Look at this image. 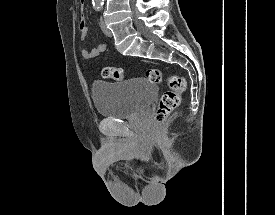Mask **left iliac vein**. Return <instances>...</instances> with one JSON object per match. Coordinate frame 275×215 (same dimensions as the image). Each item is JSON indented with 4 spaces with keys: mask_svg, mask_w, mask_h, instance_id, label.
Masks as SVG:
<instances>
[{
    "mask_svg": "<svg viewBox=\"0 0 275 215\" xmlns=\"http://www.w3.org/2000/svg\"><path fill=\"white\" fill-rule=\"evenodd\" d=\"M101 28L102 31L104 32L105 35L111 37L112 36V32L111 30L106 26V23L104 21V19L101 20Z\"/></svg>",
    "mask_w": 275,
    "mask_h": 215,
    "instance_id": "obj_1",
    "label": "left iliac vein"
}]
</instances>
